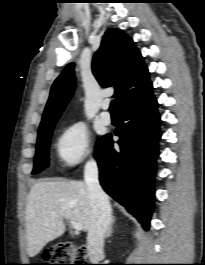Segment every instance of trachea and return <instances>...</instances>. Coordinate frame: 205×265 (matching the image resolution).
<instances>
[{
    "instance_id": "trachea-1",
    "label": "trachea",
    "mask_w": 205,
    "mask_h": 265,
    "mask_svg": "<svg viewBox=\"0 0 205 265\" xmlns=\"http://www.w3.org/2000/svg\"><path fill=\"white\" fill-rule=\"evenodd\" d=\"M110 111L111 113H117L118 112V107L116 104V100H113L110 105Z\"/></svg>"
}]
</instances>
